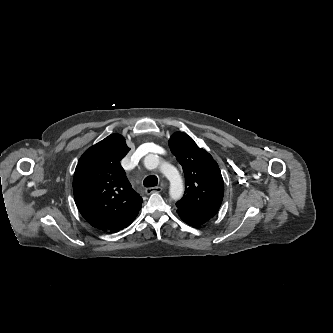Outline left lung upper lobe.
Listing matches in <instances>:
<instances>
[{
  "mask_svg": "<svg viewBox=\"0 0 333 333\" xmlns=\"http://www.w3.org/2000/svg\"><path fill=\"white\" fill-rule=\"evenodd\" d=\"M169 147L185 174L186 191L176 203L177 208L212 218L219 210L224 194L223 178L217 162L182 132L170 137Z\"/></svg>",
  "mask_w": 333,
  "mask_h": 333,
  "instance_id": "5c2ea615",
  "label": "left lung upper lobe"
}]
</instances>
